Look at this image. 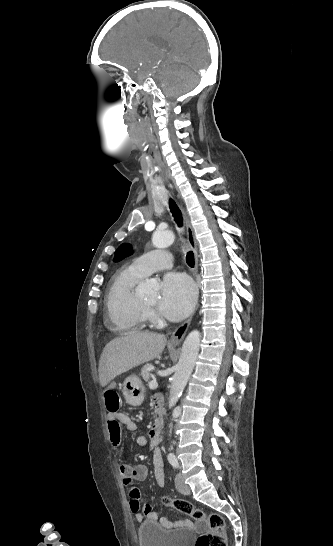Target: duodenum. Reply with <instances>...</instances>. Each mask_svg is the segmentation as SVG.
Wrapping results in <instances>:
<instances>
[{"mask_svg":"<svg viewBox=\"0 0 333 546\" xmlns=\"http://www.w3.org/2000/svg\"><path fill=\"white\" fill-rule=\"evenodd\" d=\"M162 426H163L162 417H161V415H157V418H156L155 423H154V425L152 427V430H151V436L155 440L160 439Z\"/></svg>","mask_w":333,"mask_h":546,"instance_id":"duodenum-1","label":"duodenum"}]
</instances>
